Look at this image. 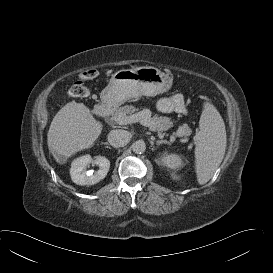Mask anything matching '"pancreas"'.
Here are the masks:
<instances>
[{"label":"pancreas","instance_id":"cf45deb5","mask_svg":"<svg viewBox=\"0 0 273 273\" xmlns=\"http://www.w3.org/2000/svg\"><path fill=\"white\" fill-rule=\"evenodd\" d=\"M135 111H137V109L132 105L119 107L115 110V112L112 113L111 121L114 124L120 125V121L124 116L131 115ZM148 119L150 120L153 129L159 132L165 131L173 125V122L170 118L158 116L156 114H154L152 117H149ZM176 133L179 137H184L187 139L188 136L191 135V129L188 127V125L184 124L179 126Z\"/></svg>","mask_w":273,"mask_h":273}]
</instances>
